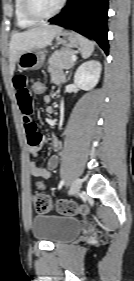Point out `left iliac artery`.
Instances as JSON below:
<instances>
[{"label": "left iliac artery", "instance_id": "obj_1", "mask_svg": "<svg viewBox=\"0 0 134 281\" xmlns=\"http://www.w3.org/2000/svg\"><path fill=\"white\" fill-rule=\"evenodd\" d=\"M64 183H65V180L62 179V180L60 181V183H59L58 189H61L62 186L64 185Z\"/></svg>", "mask_w": 134, "mask_h": 281}]
</instances>
